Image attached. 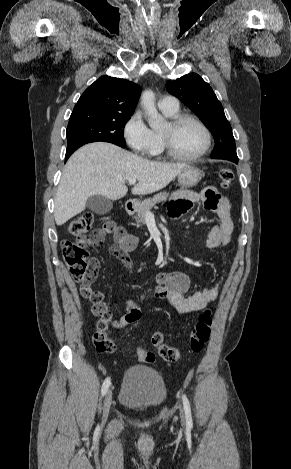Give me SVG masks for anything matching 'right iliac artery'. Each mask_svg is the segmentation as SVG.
Masks as SVG:
<instances>
[{
  "label": "right iliac artery",
  "instance_id": "82829eb1",
  "mask_svg": "<svg viewBox=\"0 0 291 469\" xmlns=\"http://www.w3.org/2000/svg\"><path fill=\"white\" fill-rule=\"evenodd\" d=\"M110 383H111V382H110V378L107 377V378L104 380L103 384H102L101 393H102L103 396L106 394V392H107V390H108V388H109V386H110Z\"/></svg>",
  "mask_w": 291,
  "mask_h": 469
}]
</instances>
